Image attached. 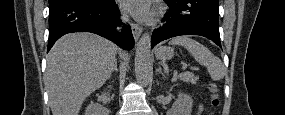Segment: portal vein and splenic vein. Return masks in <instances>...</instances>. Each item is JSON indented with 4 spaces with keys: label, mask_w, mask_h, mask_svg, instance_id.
Listing matches in <instances>:
<instances>
[{
    "label": "portal vein and splenic vein",
    "mask_w": 285,
    "mask_h": 115,
    "mask_svg": "<svg viewBox=\"0 0 285 115\" xmlns=\"http://www.w3.org/2000/svg\"><path fill=\"white\" fill-rule=\"evenodd\" d=\"M187 66H188L187 63L184 62L182 69L185 70L187 68Z\"/></svg>",
    "instance_id": "portal-vein-and-splenic-vein-1"
}]
</instances>
